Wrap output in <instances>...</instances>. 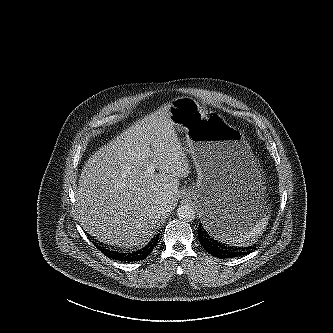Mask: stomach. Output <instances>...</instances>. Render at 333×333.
<instances>
[{"label": "stomach", "instance_id": "1", "mask_svg": "<svg viewBox=\"0 0 333 333\" xmlns=\"http://www.w3.org/2000/svg\"><path fill=\"white\" fill-rule=\"evenodd\" d=\"M173 126L183 130L197 181L188 194L215 238L248 227L264 214L261 166L245 136L220 115H208L191 97L170 104Z\"/></svg>", "mask_w": 333, "mask_h": 333}]
</instances>
